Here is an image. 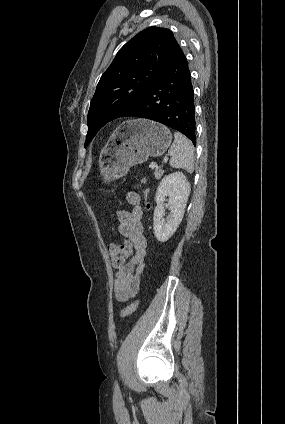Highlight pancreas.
I'll return each mask as SVG.
<instances>
[{
  "instance_id": "pancreas-1",
  "label": "pancreas",
  "mask_w": 285,
  "mask_h": 424,
  "mask_svg": "<svg viewBox=\"0 0 285 424\" xmlns=\"http://www.w3.org/2000/svg\"><path fill=\"white\" fill-rule=\"evenodd\" d=\"M163 174V171L156 169L154 172V176L156 179H160Z\"/></svg>"
}]
</instances>
